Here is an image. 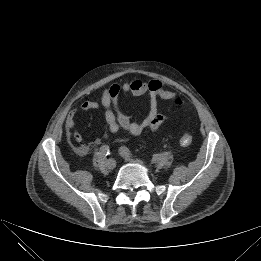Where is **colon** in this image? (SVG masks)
<instances>
[{"instance_id":"1","label":"colon","mask_w":261,"mask_h":261,"mask_svg":"<svg viewBox=\"0 0 261 261\" xmlns=\"http://www.w3.org/2000/svg\"><path fill=\"white\" fill-rule=\"evenodd\" d=\"M174 102L176 104H181L182 103V100L178 97H175L174 98ZM192 140H193V137L191 135L190 132L188 131H185L182 136L180 137V144L182 146H189L191 143H192Z\"/></svg>"}]
</instances>
